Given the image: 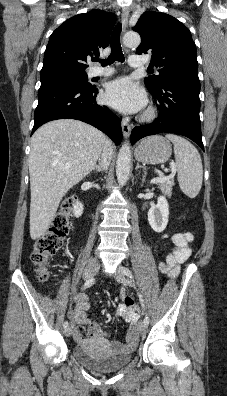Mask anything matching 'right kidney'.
Wrapping results in <instances>:
<instances>
[{"instance_id":"obj_1","label":"right kidney","mask_w":227,"mask_h":396,"mask_svg":"<svg viewBox=\"0 0 227 396\" xmlns=\"http://www.w3.org/2000/svg\"><path fill=\"white\" fill-rule=\"evenodd\" d=\"M83 209H84L83 208V204L80 203V202H76L74 204V215L76 217H80L82 215V213H83Z\"/></svg>"}]
</instances>
